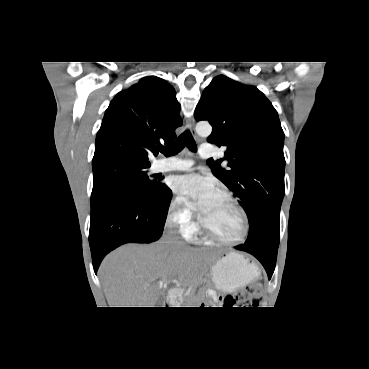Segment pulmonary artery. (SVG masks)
<instances>
[{"label": "pulmonary artery", "mask_w": 369, "mask_h": 369, "mask_svg": "<svg viewBox=\"0 0 369 369\" xmlns=\"http://www.w3.org/2000/svg\"><path fill=\"white\" fill-rule=\"evenodd\" d=\"M214 147L210 144H202L199 149V155L201 158H210L214 156ZM193 162L188 159L170 158L157 163L156 168L158 171H185L189 170Z\"/></svg>", "instance_id": "e3ab8cb5"}]
</instances>
